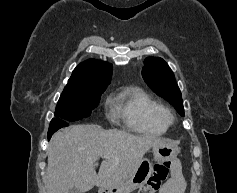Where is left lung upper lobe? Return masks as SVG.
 <instances>
[{
    "instance_id": "5c2ea615",
    "label": "left lung upper lobe",
    "mask_w": 237,
    "mask_h": 193,
    "mask_svg": "<svg viewBox=\"0 0 237 193\" xmlns=\"http://www.w3.org/2000/svg\"><path fill=\"white\" fill-rule=\"evenodd\" d=\"M144 64L142 76L146 83L184 116L181 92L167 63L161 58H147Z\"/></svg>"
}]
</instances>
